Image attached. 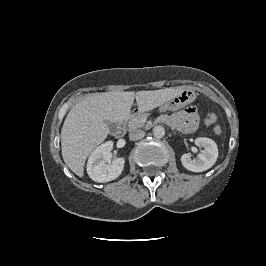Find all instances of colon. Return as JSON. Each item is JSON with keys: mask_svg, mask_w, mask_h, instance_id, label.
Listing matches in <instances>:
<instances>
[{"mask_svg": "<svg viewBox=\"0 0 266 266\" xmlns=\"http://www.w3.org/2000/svg\"><path fill=\"white\" fill-rule=\"evenodd\" d=\"M216 120H217V117H216V115L213 114V113H209V114H207L206 117H205V123H206L207 125H214V126H213V131H214V133H216V134H220V133H221V127L218 126V125H215Z\"/></svg>", "mask_w": 266, "mask_h": 266, "instance_id": "obj_1", "label": "colon"}]
</instances>
